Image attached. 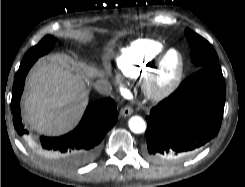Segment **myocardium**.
<instances>
[{"label": "myocardium", "instance_id": "f54148a6", "mask_svg": "<svg viewBox=\"0 0 245 187\" xmlns=\"http://www.w3.org/2000/svg\"><path fill=\"white\" fill-rule=\"evenodd\" d=\"M176 53L178 58L177 68L172 77L165 83H160V75L164 60L170 53ZM184 57L180 50L175 47L164 49L157 57L153 66L144 75L142 80V90L144 95L152 101H162L172 95L182 80L184 73Z\"/></svg>", "mask_w": 245, "mask_h": 187}]
</instances>
